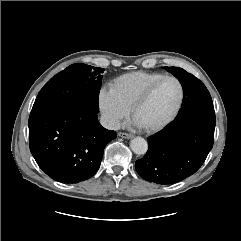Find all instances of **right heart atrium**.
Instances as JSON below:
<instances>
[{
  "mask_svg": "<svg viewBox=\"0 0 241 241\" xmlns=\"http://www.w3.org/2000/svg\"><path fill=\"white\" fill-rule=\"evenodd\" d=\"M98 105L105 124L116 129L128 116L130 109L118 98L112 88L102 87L98 93Z\"/></svg>",
  "mask_w": 241,
  "mask_h": 241,
  "instance_id": "obj_1",
  "label": "right heart atrium"
}]
</instances>
